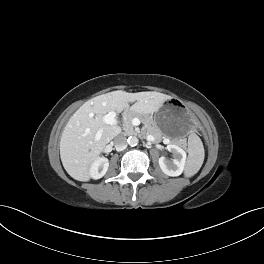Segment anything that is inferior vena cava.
<instances>
[{
    "instance_id": "obj_1",
    "label": "inferior vena cava",
    "mask_w": 264,
    "mask_h": 264,
    "mask_svg": "<svg viewBox=\"0 0 264 264\" xmlns=\"http://www.w3.org/2000/svg\"><path fill=\"white\" fill-rule=\"evenodd\" d=\"M114 146L117 151H122L127 147V139L123 135H118L114 138Z\"/></svg>"
}]
</instances>
